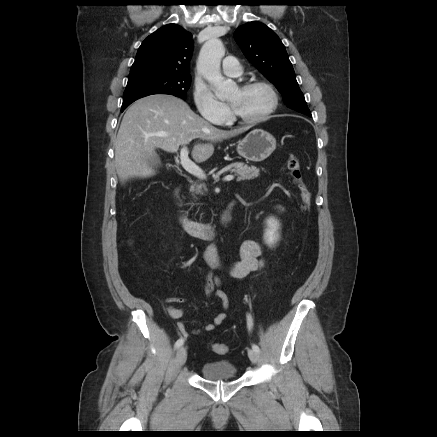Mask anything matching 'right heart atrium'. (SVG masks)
<instances>
[{"label":"right heart atrium","instance_id":"right-heart-atrium-1","mask_svg":"<svg viewBox=\"0 0 437 437\" xmlns=\"http://www.w3.org/2000/svg\"><path fill=\"white\" fill-rule=\"evenodd\" d=\"M193 100L198 113L208 121L222 123L229 115L228 106L202 84H195Z\"/></svg>","mask_w":437,"mask_h":437}]
</instances>
